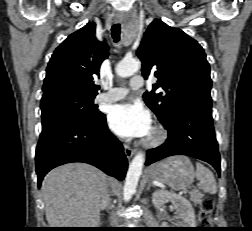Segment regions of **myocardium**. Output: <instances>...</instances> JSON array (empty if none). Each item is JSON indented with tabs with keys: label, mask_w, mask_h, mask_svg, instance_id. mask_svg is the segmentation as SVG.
I'll return each instance as SVG.
<instances>
[{
	"label": "myocardium",
	"mask_w": 252,
	"mask_h": 231,
	"mask_svg": "<svg viewBox=\"0 0 252 231\" xmlns=\"http://www.w3.org/2000/svg\"><path fill=\"white\" fill-rule=\"evenodd\" d=\"M167 138L166 130L160 126L156 125L153 127L149 136L144 140V145L146 147H157L161 145Z\"/></svg>",
	"instance_id": "myocardium-1"
}]
</instances>
